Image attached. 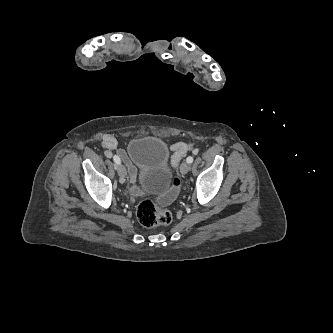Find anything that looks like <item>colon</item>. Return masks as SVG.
I'll return each mask as SVG.
<instances>
[{
    "label": "colon",
    "instance_id": "obj_1",
    "mask_svg": "<svg viewBox=\"0 0 333 333\" xmlns=\"http://www.w3.org/2000/svg\"><path fill=\"white\" fill-rule=\"evenodd\" d=\"M136 216L140 224L148 228L168 224L172 218L169 210L152 199H144L138 204Z\"/></svg>",
    "mask_w": 333,
    "mask_h": 333
}]
</instances>
